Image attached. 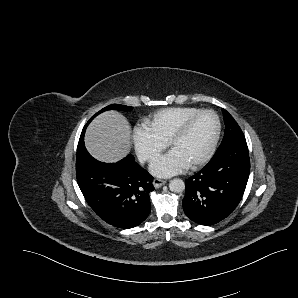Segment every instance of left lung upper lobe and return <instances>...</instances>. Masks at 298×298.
<instances>
[{
    "label": "left lung upper lobe",
    "instance_id": "5c2ea615",
    "mask_svg": "<svg viewBox=\"0 0 298 298\" xmlns=\"http://www.w3.org/2000/svg\"><path fill=\"white\" fill-rule=\"evenodd\" d=\"M222 111L226 127L223 140L220 146L218 147L217 151L224 149L227 145L231 144L232 142L245 139L243 132L241 131L240 127L233 119V117L226 110L222 109Z\"/></svg>",
    "mask_w": 298,
    "mask_h": 298
}]
</instances>
